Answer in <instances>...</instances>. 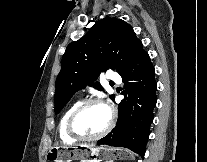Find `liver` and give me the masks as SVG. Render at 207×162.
<instances>
[{
	"mask_svg": "<svg viewBox=\"0 0 207 162\" xmlns=\"http://www.w3.org/2000/svg\"><path fill=\"white\" fill-rule=\"evenodd\" d=\"M86 146H95V145H90V144H85Z\"/></svg>",
	"mask_w": 207,
	"mask_h": 162,
	"instance_id": "liver-1",
	"label": "liver"
}]
</instances>
